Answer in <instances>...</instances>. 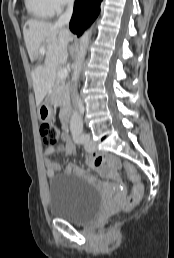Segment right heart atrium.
<instances>
[{
  "label": "right heart atrium",
  "mask_w": 174,
  "mask_h": 258,
  "mask_svg": "<svg viewBox=\"0 0 174 258\" xmlns=\"http://www.w3.org/2000/svg\"><path fill=\"white\" fill-rule=\"evenodd\" d=\"M48 2L54 12H60L65 7L70 5L73 0H48Z\"/></svg>",
  "instance_id": "right-heart-atrium-1"
}]
</instances>
